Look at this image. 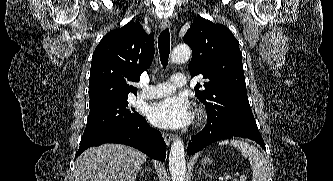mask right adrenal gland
I'll return each mask as SVG.
<instances>
[{
	"label": "right adrenal gland",
	"instance_id": "right-adrenal-gland-1",
	"mask_svg": "<svg viewBox=\"0 0 333 181\" xmlns=\"http://www.w3.org/2000/svg\"><path fill=\"white\" fill-rule=\"evenodd\" d=\"M149 170L147 169V168H141L140 169V174H141V176H144V174L146 173V172H148Z\"/></svg>",
	"mask_w": 333,
	"mask_h": 181
}]
</instances>
